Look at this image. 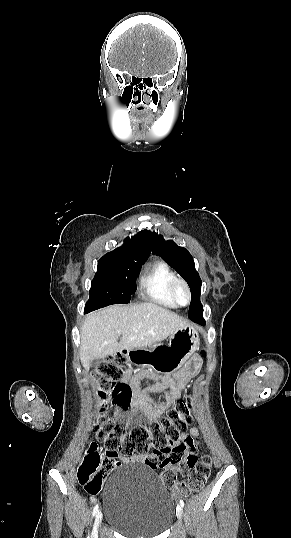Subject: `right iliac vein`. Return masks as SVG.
I'll return each mask as SVG.
<instances>
[{
	"label": "right iliac vein",
	"mask_w": 291,
	"mask_h": 538,
	"mask_svg": "<svg viewBox=\"0 0 291 538\" xmlns=\"http://www.w3.org/2000/svg\"><path fill=\"white\" fill-rule=\"evenodd\" d=\"M102 519H103V514H102L101 510H98V512L96 514V518H95V524H94V528H93V532H92V538H97L98 527H99Z\"/></svg>",
	"instance_id": "right-iliac-vein-1"
}]
</instances>
